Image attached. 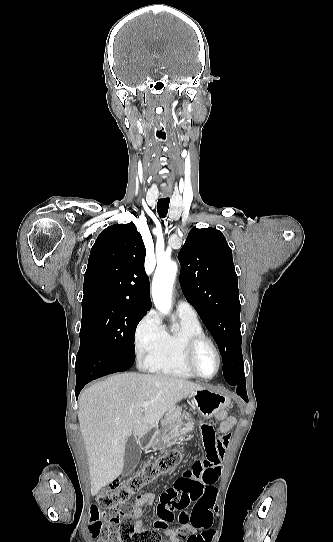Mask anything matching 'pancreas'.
Listing matches in <instances>:
<instances>
[{
	"instance_id": "cf45deb5",
	"label": "pancreas",
	"mask_w": 333,
	"mask_h": 542,
	"mask_svg": "<svg viewBox=\"0 0 333 542\" xmlns=\"http://www.w3.org/2000/svg\"><path fill=\"white\" fill-rule=\"evenodd\" d=\"M183 416H185V414H182V408H180V406H178V408H170V410H167L164 420H161L162 428H164V426H172V424H176V422H179Z\"/></svg>"
}]
</instances>
